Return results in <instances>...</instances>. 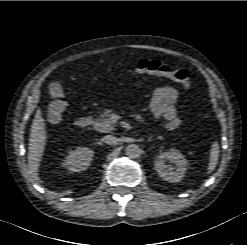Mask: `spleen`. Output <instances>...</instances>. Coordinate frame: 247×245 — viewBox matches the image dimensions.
Here are the masks:
<instances>
[{"label": "spleen", "mask_w": 247, "mask_h": 245, "mask_svg": "<svg viewBox=\"0 0 247 245\" xmlns=\"http://www.w3.org/2000/svg\"><path fill=\"white\" fill-rule=\"evenodd\" d=\"M218 159H219V144L218 142H214L211 145L207 174H211L215 170L218 163Z\"/></svg>", "instance_id": "1"}]
</instances>
